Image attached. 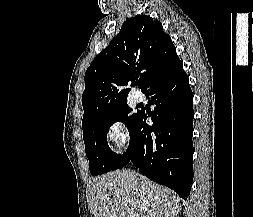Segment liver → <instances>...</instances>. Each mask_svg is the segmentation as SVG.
Listing matches in <instances>:
<instances>
[{"instance_id": "6515ba94", "label": "liver", "mask_w": 253, "mask_h": 217, "mask_svg": "<svg viewBox=\"0 0 253 217\" xmlns=\"http://www.w3.org/2000/svg\"><path fill=\"white\" fill-rule=\"evenodd\" d=\"M180 198L170 189L130 170L93 179L90 209L94 217H174Z\"/></svg>"}]
</instances>
